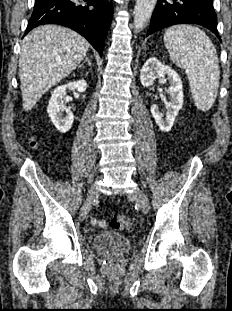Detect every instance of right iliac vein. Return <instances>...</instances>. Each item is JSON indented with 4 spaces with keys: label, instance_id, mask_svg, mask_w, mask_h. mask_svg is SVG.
I'll return each instance as SVG.
<instances>
[{
    "label": "right iliac vein",
    "instance_id": "right-iliac-vein-1",
    "mask_svg": "<svg viewBox=\"0 0 232 311\" xmlns=\"http://www.w3.org/2000/svg\"><path fill=\"white\" fill-rule=\"evenodd\" d=\"M98 185L97 184H93L89 191H88V194H87V198H86V201L84 203V205L82 206L81 210H80V219L83 220L86 218L90 208H91V205L94 201V199L97 197L98 195Z\"/></svg>",
    "mask_w": 232,
    "mask_h": 311
}]
</instances>
